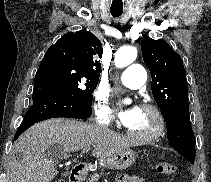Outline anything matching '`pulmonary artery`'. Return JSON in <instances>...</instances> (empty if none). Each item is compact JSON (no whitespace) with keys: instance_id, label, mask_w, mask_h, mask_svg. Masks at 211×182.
I'll return each instance as SVG.
<instances>
[{"instance_id":"pulmonary-artery-1","label":"pulmonary artery","mask_w":211,"mask_h":182,"mask_svg":"<svg viewBox=\"0 0 211 182\" xmlns=\"http://www.w3.org/2000/svg\"><path fill=\"white\" fill-rule=\"evenodd\" d=\"M146 70L139 64L129 65L120 75V81L123 85L136 89L144 85Z\"/></svg>"}]
</instances>
